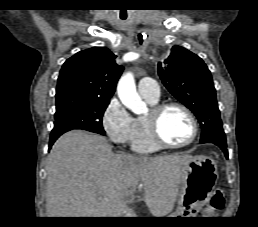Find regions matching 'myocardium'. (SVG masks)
<instances>
[{
    "mask_svg": "<svg viewBox=\"0 0 258 227\" xmlns=\"http://www.w3.org/2000/svg\"><path fill=\"white\" fill-rule=\"evenodd\" d=\"M170 108L181 109L183 112H185V114L188 116L191 122L192 130H193L192 135L188 140L182 143H171L165 140L161 134L160 119L163 113ZM146 121L149 127L150 134L152 136V139L159 147H164V148L185 147L192 144L196 140L199 134V125L195 115L187 106L178 102H166V103L153 105L152 108L150 109L149 114L146 116Z\"/></svg>",
    "mask_w": 258,
    "mask_h": 227,
    "instance_id": "obj_1",
    "label": "myocardium"
}]
</instances>
